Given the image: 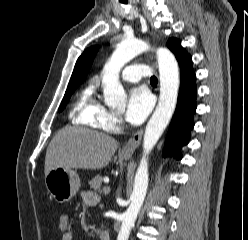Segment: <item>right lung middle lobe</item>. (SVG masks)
I'll return each instance as SVG.
<instances>
[{
	"mask_svg": "<svg viewBox=\"0 0 248 240\" xmlns=\"http://www.w3.org/2000/svg\"><path fill=\"white\" fill-rule=\"evenodd\" d=\"M80 83L81 81H70L69 82L64 98L62 100V103L58 109V112H61L64 109L72 93L76 90V88L80 85Z\"/></svg>",
	"mask_w": 248,
	"mask_h": 240,
	"instance_id": "right-lung-middle-lobe-1",
	"label": "right lung middle lobe"
}]
</instances>
